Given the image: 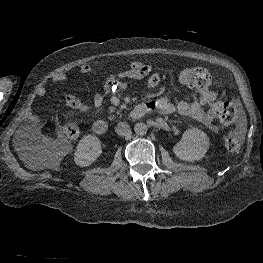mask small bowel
<instances>
[{
	"mask_svg": "<svg viewBox=\"0 0 263 263\" xmlns=\"http://www.w3.org/2000/svg\"><path fill=\"white\" fill-rule=\"evenodd\" d=\"M78 72L81 75H88L93 72V68L90 65L80 66ZM68 75L66 73H57L51 77L52 83H63L68 80ZM147 78L146 86L149 89L155 88L159 85L161 81V73L156 69L153 64L142 63L140 61H133L129 64V67L115 75L109 76L104 82L105 93H114L118 91L125 90L129 85V80H142ZM38 97H43L46 94V89L44 87H39L36 91ZM66 104L77 111L86 112L89 106L82 102L78 97L71 93L65 94ZM103 94L96 92L92 97V106L94 108H100L103 104ZM150 107V110H158L163 114H171L173 112H178L182 116H187L193 118L197 121L203 123L210 130H217V126L214 124L213 118L210 114H207L203 109V101L200 99L192 102L188 101H178L173 103L168 97L164 96L156 100L146 102ZM39 124L38 119L35 115L30 117L29 125L24 129L23 134L28 138L36 139L37 142L43 146L51 147L55 146L62 138L61 131L58 130L56 137L52 138L49 136L39 135Z\"/></svg>",
	"mask_w": 263,
	"mask_h": 263,
	"instance_id": "1",
	"label": "small bowel"
}]
</instances>
